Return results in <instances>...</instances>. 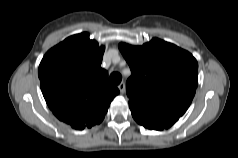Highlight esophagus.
<instances>
[{
  "label": "esophagus",
  "mask_w": 238,
  "mask_h": 158,
  "mask_svg": "<svg viewBox=\"0 0 238 158\" xmlns=\"http://www.w3.org/2000/svg\"><path fill=\"white\" fill-rule=\"evenodd\" d=\"M118 89L120 91L121 94L125 93V83L124 82H121L119 85H118Z\"/></svg>",
  "instance_id": "esophagus-1"
}]
</instances>
